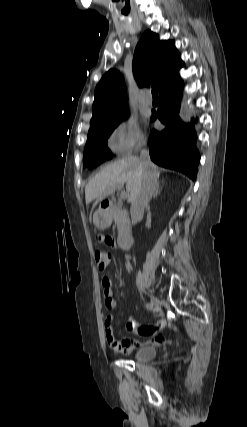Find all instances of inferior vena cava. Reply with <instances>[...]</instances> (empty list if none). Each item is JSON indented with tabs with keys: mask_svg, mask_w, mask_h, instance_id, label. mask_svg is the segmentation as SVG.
Instances as JSON below:
<instances>
[{
	"mask_svg": "<svg viewBox=\"0 0 247 427\" xmlns=\"http://www.w3.org/2000/svg\"><path fill=\"white\" fill-rule=\"evenodd\" d=\"M145 142L140 144V162L143 166L142 185L131 202L130 214L132 224L135 225L142 217L144 209L148 206L149 201L154 195L157 187V177L151 170L152 162L150 160L149 151L143 148Z\"/></svg>",
	"mask_w": 247,
	"mask_h": 427,
	"instance_id": "602c4592",
	"label": "inferior vena cava"
}]
</instances>
